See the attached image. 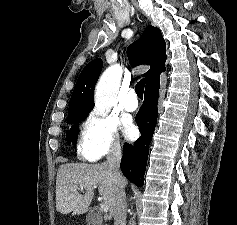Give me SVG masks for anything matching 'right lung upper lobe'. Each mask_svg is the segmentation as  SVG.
<instances>
[{
  "mask_svg": "<svg viewBox=\"0 0 237 225\" xmlns=\"http://www.w3.org/2000/svg\"><path fill=\"white\" fill-rule=\"evenodd\" d=\"M127 56L132 66L148 64L151 68L144 74L146 87L160 83V73L165 71V41L161 31L148 26L139 40L127 48ZM102 60L95 59L88 63L80 73L73 90L69 112L92 109L94 86L102 70Z\"/></svg>",
  "mask_w": 237,
  "mask_h": 225,
  "instance_id": "right-lung-upper-lobe-1",
  "label": "right lung upper lobe"
}]
</instances>
